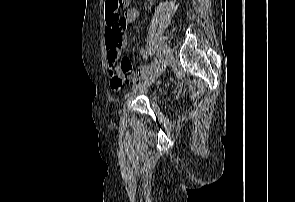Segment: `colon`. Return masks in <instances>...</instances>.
<instances>
[{
  "label": "colon",
  "mask_w": 295,
  "mask_h": 202,
  "mask_svg": "<svg viewBox=\"0 0 295 202\" xmlns=\"http://www.w3.org/2000/svg\"><path fill=\"white\" fill-rule=\"evenodd\" d=\"M127 0H106V12L107 15H111L112 21H119L121 14L120 10L123 8ZM117 77V76H113Z\"/></svg>",
  "instance_id": "1"
}]
</instances>
